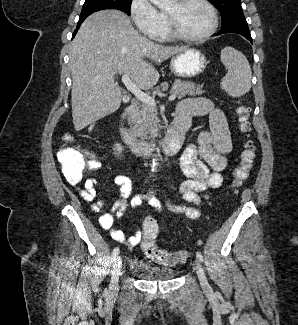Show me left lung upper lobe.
Segmentation results:
<instances>
[{"instance_id": "1", "label": "left lung upper lobe", "mask_w": 298, "mask_h": 325, "mask_svg": "<svg viewBox=\"0 0 298 325\" xmlns=\"http://www.w3.org/2000/svg\"><path fill=\"white\" fill-rule=\"evenodd\" d=\"M221 13L222 26L235 20L243 19L244 14L240 0H211Z\"/></svg>"}]
</instances>
